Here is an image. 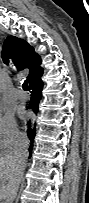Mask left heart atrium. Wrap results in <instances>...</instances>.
Here are the masks:
<instances>
[{"label": "left heart atrium", "instance_id": "left-heart-atrium-1", "mask_svg": "<svg viewBox=\"0 0 89 203\" xmlns=\"http://www.w3.org/2000/svg\"><path fill=\"white\" fill-rule=\"evenodd\" d=\"M21 116H22V118H24L26 115H25V113H21Z\"/></svg>", "mask_w": 89, "mask_h": 203}]
</instances>
